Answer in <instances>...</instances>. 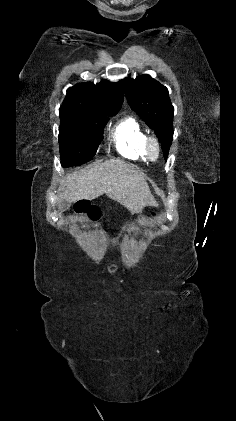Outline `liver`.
Returning <instances> with one entry per match:
<instances>
[{
  "label": "liver",
  "instance_id": "6515ba94",
  "mask_svg": "<svg viewBox=\"0 0 236 421\" xmlns=\"http://www.w3.org/2000/svg\"><path fill=\"white\" fill-rule=\"evenodd\" d=\"M61 184L60 196L70 202L81 198L93 200L105 192L124 204L132 215L141 213L144 206H158L142 172L119 158L88 164L66 176Z\"/></svg>",
  "mask_w": 236,
  "mask_h": 421
}]
</instances>
